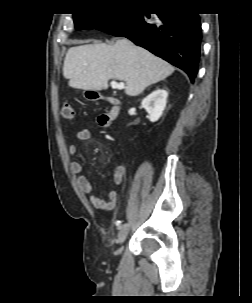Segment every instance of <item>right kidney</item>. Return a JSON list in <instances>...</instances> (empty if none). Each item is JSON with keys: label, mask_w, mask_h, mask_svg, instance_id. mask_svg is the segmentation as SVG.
<instances>
[{"label": "right kidney", "mask_w": 252, "mask_h": 303, "mask_svg": "<svg viewBox=\"0 0 252 303\" xmlns=\"http://www.w3.org/2000/svg\"><path fill=\"white\" fill-rule=\"evenodd\" d=\"M168 92L164 89L157 88L142 100V107L149 114V120L156 122L162 116L166 107Z\"/></svg>", "instance_id": "ca27d5eb"}]
</instances>
